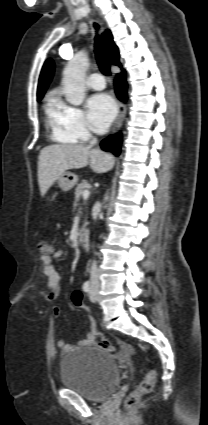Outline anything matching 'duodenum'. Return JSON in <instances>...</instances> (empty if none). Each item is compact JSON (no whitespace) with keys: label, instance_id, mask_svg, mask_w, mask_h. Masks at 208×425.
<instances>
[{"label":"duodenum","instance_id":"1","mask_svg":"<svg viewBox=\"0 0 208 425\" xmlns=\"http://www.w3.org/2000/svg\"><path fill=\"white\" fill-rule=\"evenodd\" d=\"M79 243L85 249H87L89 247V236H88V233L81 234V236L79 238Z\"/></svg>","mask_w":208,"mask_h":425}]
</instances>
